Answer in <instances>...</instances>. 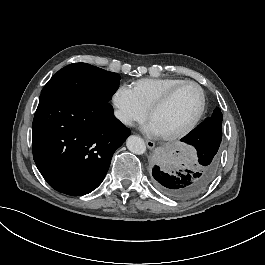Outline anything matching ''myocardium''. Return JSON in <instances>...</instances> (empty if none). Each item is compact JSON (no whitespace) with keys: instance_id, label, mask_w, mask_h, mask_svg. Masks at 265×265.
Masks as SVG:
<instances>
[{"instance_id":"myocardium-1","label":"myocardium","mask_w":265,"mask_h":265,"mask_svg":"<svg viewBox=\"0 0 265 265\" xmlns=\"http://www.w3.org/2000/svg\"><path fill=\"white\" fill-rule=\"evenodd\" d=\"M186 85H193V86H195L199 90L200 96H201L200 107L198 109L197 114L192 119V121L187 126H185L183 129H181V130H179L177 132L168 134V135L161 136V139L164 140V141H172V140L180 139V138H183V137L187 136L191 131H193L195 129V127L198 125V123L201 121V119L204 116V113H205V110H206V104H207V95H206L205 89L198 82H196V81H193V80H183V81L179 82L178 84L174 85L173 87H171L149 109V111H148V119H150V117L152 116L153 113H155L156 111H158L161 108H163L172 99V97L182 87H184Z\"/></svg>"}]
</instances>
